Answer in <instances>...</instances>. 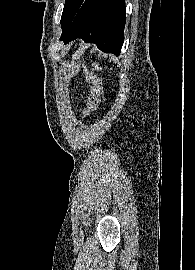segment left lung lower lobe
Here are the masks:
<instances>
[{"label": "left lung lower lobe", "instance_id": "0a47b994", "mask_svg": "<svg viewBox=\"0 0 195 270\" xmlns=\"http://www.w3.org/2000/svg\"><path fill=\"white\" fill-rule=\"evenodd\" d=\"M126 9L124 0H85L70 25L62 31L68 43L82 38L105 53L118 56L124 42Z\"/></svg>", "mask_w": 195, "mask_h": 270}]
</instances>
